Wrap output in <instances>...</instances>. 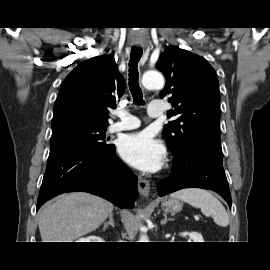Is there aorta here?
Returning <instances> with one entry per match:
<instances>
[{
  "label": "aorta",
  "instance_id": "aorta-1",
  "mask_svg": "<svg viewBox=\"0 0 270 270\" xmlns=\"http://www.w3.org/2000/svg\"><path fill=\"white\" fill-rule=\"evenodd\" d=\"M142 84L146 89H161L164 86V78L159 72H146L143 75ZM140 239L146 241L147 236L141 235Z\"/></svg>",
  "mask_w": 270,
  "mask_h": 270
}]
</instances>
